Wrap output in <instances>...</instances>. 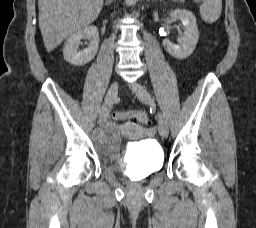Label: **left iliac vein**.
I'll return each mask as SVG.
<instances>
[{"label": "left iliac vein", "instance_id": "obj_1", "mask_svg": "<svg viewBox=\"0 0 256 228\" xmlns=\"http://www.w3.org/2000/svg\"><path fill=\"white\" fill-rule=\"evenodd\" d=\"M130 87L134 91V93L136 94V96L138 97V99L140 101H142L144 103H148V104L152 102L150 93L140 83L135 82V83L131 84ZM158 131H159V134L163 138H166L169 134L167 121H166L165 117L163 116V114L160 112L158 113Z\"/></svg>", "mask_w": 256, "mask_h": 228}]
</instances>
